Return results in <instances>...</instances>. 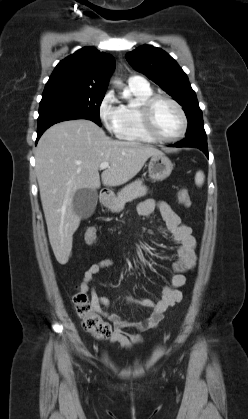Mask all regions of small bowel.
Returning a JSON list of instances; mask_svg holds the SVG:
<instances>
[{
    "mask_svg": "<svg viewBox=\"0 0 248 419\" xmlns=\"http://www.w3.org/2000/svg\"><path fill=\"white\" fill-rule=\"evenodd\" d=\"M158 210L165 226L173 241L178 245V259L173 263V275L170 285L162 288L161 298L157 302L149 299L135 300L131 297L127 301L139 305L142 308L150 309V314L142 321L131 322L121 318L119 315L103 310L110 305L108 298L98 296L96 289L90 286L95 276L106 267L113 265L112 259H103L93 263L84 273L80 289L85 293L92 294L95 308L114 326L110 335L111 343L119 344L126 349L142 342L141 333L155 329L162 320L165 311L182 300L181 288L186 283L185 273L194 269L196 265L195 246L196 241L192 235L190 226L183 223L181 218L165 202H156L153 199H146L139 204L138 212L142 216H148ZM132 328L137 332L128 333L126 329Z\"/></svg>",
    "mask_w": 248,
    "mask_h": 419,
    "instance_id": "c3829d8e",
    "label": "small bowel"
}]
</instances>
